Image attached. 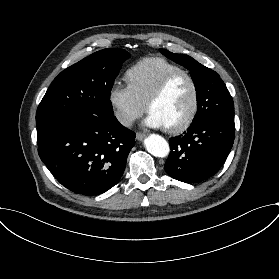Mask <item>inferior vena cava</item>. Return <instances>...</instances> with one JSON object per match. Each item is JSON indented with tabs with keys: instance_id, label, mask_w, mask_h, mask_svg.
I'll list each match as a JSON object with an SVG mask.
<instances>
[{
	"instance_id": "inferior-vena-cava-1",
	"label": "inferior vena cava",
	"mask_w": 279,
	"mask_h": 279,
	"mask_svg": "<svg viewBox=\"0 0 279 279\" xmlns=\"http://www.w3.org/2000/svg\"><path fill=\"white\" fill-rule=\"evenodd\" d=\"M117 119L123 126H130L135 120L134 117L129 116L126 113H119Z\"/></svg>"
}]
</instances>
